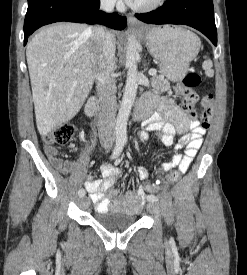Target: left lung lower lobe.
<instances>
[{
	"label": "left lung lower lobe",
	"instance_id": "1",
	"mask_svg": "<svg viewBox=\"0 0 247 275\" xmlns=\"http://www.w3.org/2000/svg\"><path fill=\"white\" fill-rule=\"evenodd\" d=\"M139 20L149 24H185L191 26L217 45V31L212 0H166L158 9L135 14Z\"/></svg>",
	"mask_w": 247,
	"mask_h": 275
}]
</instances>
